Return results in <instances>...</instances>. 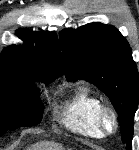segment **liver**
<instances>
[{"label":"liver","instance_id":"obj_1","mask_svg":"<svg viewBox=\"0 0 139 150\" xmlns=\"http://www.w3.org/2000/svg\"><path fill=\"white\" fill-rule=\"evenodd\" d=\"M30 150H64V148L56 143L43 142L34 145Z\"/></svg>","mask_w":139,"mask_h":150}]
</instances>
